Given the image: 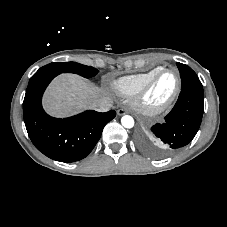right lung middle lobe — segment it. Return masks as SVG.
<instances>
[{
	"mask_svg": "<svg viewBox=\"0 0 227 227\" xmlns=\"http://www.w3.org/2000/svg\"><path fill=\"white\" fill-rule=\"evenodd\" d=\"M75 73L85 78L94 77L98 70L75 62H53L41 67L32 77L42 74Z\"/></svg>",
	"mask_w": 227,
	"mask_h": 227,
	"instance_id": "obj_1",
	"label": "right lung middle lobe"
}]
</instances>
